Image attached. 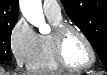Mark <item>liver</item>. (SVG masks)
Here are the masks:
<instances>
[{
	"label": "liver",
	"instance_id": "obj_1",
	"mask_svg": "<svg viewBox=\"0 0 107 75\" xmlns=\"http://www.w3.org/2000/svg\"><path fill=\"white\" fill-rule=\"evenodd\" d=\"M1 75H5L3 74V72H1ZM19 75H31L30 73H23V74H19Z\"/></svg>",
	"mask_w": 107,
	"mask_h": 75
}]
</instances>
